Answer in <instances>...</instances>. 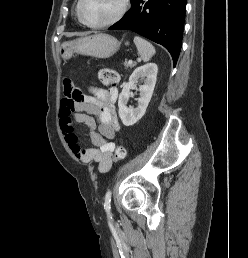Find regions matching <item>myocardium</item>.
Masks as SVG:
<instances>
[{
  "mask_svg": "<svg viewBox=\"0 0 248 258\" xmlns=\"http://www.w3.org/2000/svg\"><path fill=\"white\" fill-rule=\"evenodd\" d=\"M83 1L84 0H78V4H77L78 17L82 23H84L86 26H88L90 28H103V27H107V26L117 23L125 15L127 6H128V0H121L119 10L113 17H111L110 19H108L106 21L100 22V23H91L83 15V12H82Z\"/></svg>",
  "mask_w": 248,
  "mask_h": 258,
  "instance_id": "myocardium-1",
  "label": "myocardium"
}]
</instances>
